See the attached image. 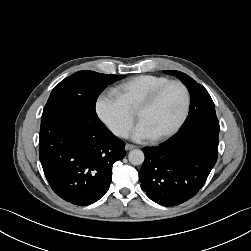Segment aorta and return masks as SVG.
<instances>
[{"label": "aorta", "instance_id": "762f6f07", "mask_svg": "<svg viewBox=\"0 0 251 251\" xmlns=\"http://www.w3.org/2000/svg\"><path fill=\"white\" fill-rule=\"evenodd\" d=\"M128 159L133 165H141L144 162L145 156L142 150L134 149L129 152Z\"/></svg>", "mask_w": 251, "mask_h": 251}]
</instances>
